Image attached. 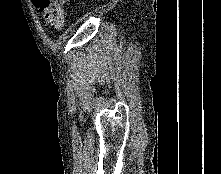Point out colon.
<instances>
[{"instance_id": "1", "label": "colon", "mask_w": 221, "mask_h": 174, "mask_svg": "<svg viewBox=\"0 0 221 174\" xmlns=\"http://www.w3.org/2000/svg\"><path fill=\"white\" fill-rule=\"evenodd\" d=\"M67 1L68 0H34V3L50 25L61 27L64 24V5Z\"/></svg>"}]
</instances>
